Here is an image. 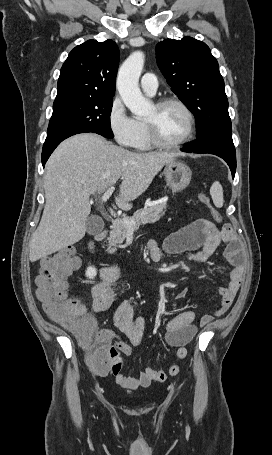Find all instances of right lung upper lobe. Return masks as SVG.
Segmentation results:
<instances>
[{
	"mask_svg": "<svg viewBox=\"0 0 272 455\" xmlns=\"http://www.w3.org/2000/svg\"><path fill=\"white\" fill-rule=\"evenodd\" d=\"M119 56L112 40H88L75 47L61 68L55 101L113 98Z\"/></svg>",
	"mask_w": 272,
	"mask_h": 455,
	"instance_id": "1",
	"label": "right lung upper lobe"
}]
</instances>
